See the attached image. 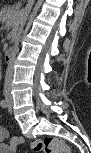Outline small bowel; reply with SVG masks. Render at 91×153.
Here are the masks:
<instances>
[{"mask_svg":"<svg viewBox=\"0 0 91 153\" xmlns=\"http://www.w3.org/2000/svg\"><path fill=\"white\" fill-rule=\"evenodd\" d=\"M8 138L7 130L0 129V151L2 153H11L15 151V143L19 138H13L10 144L5 143L4 141Z\"/></svg>","mask_w":91,"mask_h":153,"instance_id":"1","label":"small bowel"}]
</instances>
